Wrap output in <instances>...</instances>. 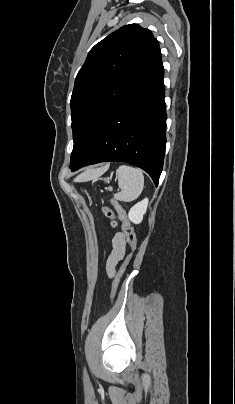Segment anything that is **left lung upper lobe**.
<instances>
[{
	"instance_id": "left-lung-upper-lobe-1",
	"label": "left lung upper lobe",
	"mask_w": 235,
	"mask_h": 404,
	"mask_svg": "<svg viewBox=\"0 0 235 404\" xmlns=\"http://www.w3.org/2000/svg\"><path fill=\"white\" fill-rule=\"evenodd\" d=\"M161 61L158 41L150 30L137 24L121 27L90 50L76 76L70 101L74 140L71 164Z\"/></svg>"
}]
</instances>
